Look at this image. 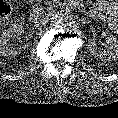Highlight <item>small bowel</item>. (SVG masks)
Wrapping results in <instances>:
<instances>
[{
    "label": "small bowel",
    "instance_id": "1",
    "mask_svg": "<svg viewBox=\"0 0 118 118\" xmlns=\"http://www.w3.org/2000/svg\"><path fill=\"white\" fill-rule=\"evenodd\" d=\"M113 30L118 34V18L115 16L114 23L112 24Z\"/></svg>",
    "mask_w": 118,
    "mask_h": 118
}]
</instances>
